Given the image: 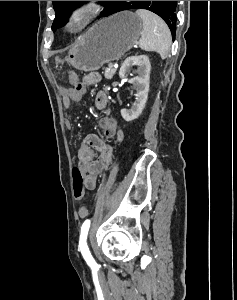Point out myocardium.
Listing matches in <instances>:
<instances>
[{
    "label": "myocardium",
    "instance_id": "1",
    "mask_svg": "<svg viewBox=\"0 0 237 300\" xmlns=\"http://www.w3.org/2000/svg\"><path fill=\"white\" fill-rule=\"evenodd\" d=\"M102 12L101 1H80L72 7L64 25L69 34H77L93 22Z\"/></svg>",
    "mask_w": 237,
    "mask_h": 300
}]
</instances>
